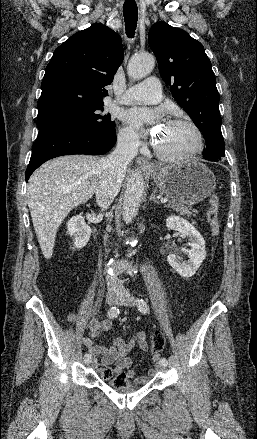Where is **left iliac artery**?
<instances>
[{
    "mask_svg": "<svg viewBox=\"0 0 257 439\" xmlns=\"http://www.w3.org/2000/svg\"><path fill=\"white\" fill-rule=\"evenodd\" d=\"M137 306H138L139 311L142 312L143 314H146L149 312V306L145 300L139 299ZM160 363L167 365L168 361L166 358L163 357L160 359Z\"/></svg>",
    "mask_w": 257,
    "mask_h": 439,
    "instance_id": "1",
    "label": "left iliac artery"
}]
</instances>
